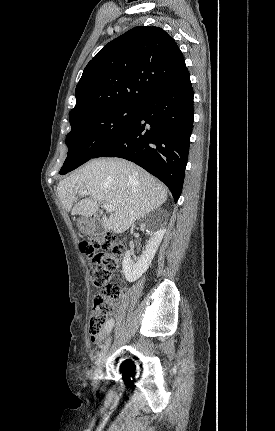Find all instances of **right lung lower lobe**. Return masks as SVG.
<instances>
[{
  "mask_svg": "<svg viewBox=\"0 0 275 431\" xmlns=\"http://www.w3.org/2000/svg\"><path fill=\"white\" fill-rule=\"evenodd\" d=\"M193 89L186 71L137 107L134 121L95 154L132 161L165 183L179 199L193 127Z\"/></svg>",
  "mask_w": 275,
  "mask_h": 431,
  "instance_id": "1",
  "label": "right lung lower lobe"
}]
</instances>
